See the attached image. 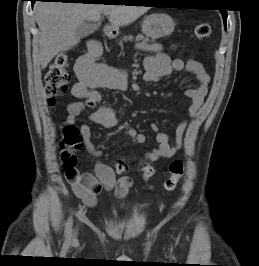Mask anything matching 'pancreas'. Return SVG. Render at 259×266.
I'll list each match as a JSON object with an SVG mask.
<instances>
[{"label":"pancreas","instance_id":"obj_1","mask_svg":"<svg viewBox=\"0 0 259 266\" xmlns=\"http://www.w3.org/2000/svg\"><path fill=\"white\" fill-rule=\"evenodd\" d=\"M132 41L133 37L132 36H125L123 41ZM135 41L138 42L143 48L145 49H153V46H151L149 44V39L144 37L143 35H137V37L135 38Z\"/></svg>","mask_w":259,"mask_h":266}]
</instances>
